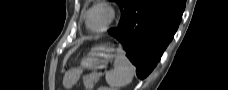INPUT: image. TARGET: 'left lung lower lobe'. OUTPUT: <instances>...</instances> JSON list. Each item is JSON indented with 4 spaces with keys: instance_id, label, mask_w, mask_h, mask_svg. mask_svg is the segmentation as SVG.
Segmentation results:
<instances>
[{
    "instance_id": "1",
    "label": "left lung lower lobe",
    "mask_w": 228,
    "mask_h": 90,
    "mask_svg": "<svg viewBox=\"0 0 228 90\" xmlns=\"http://www.w3.org/2000/svg\"><path fill=\"white\" fill-rule=\"evenodd\" d=\"M184 8L185 0H129L118 27L108 31L125 47L140 79L147 77L160 60Z\"/></svg>"
}]
</instances>
